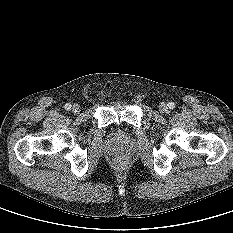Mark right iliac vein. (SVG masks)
Listing matches in <instances>:
<instances>
[{"instance_id":"63e3f726","label":"right iliac vein","mask_w":233,"mask_h":233,"mask_svg":"<svg viewBox=\"0 0 233 233\" xmlns=\"http://www.w3.org/2000/svg\"><path fill=\"white\" fill-rule=\"evenodd\" d=\"M71 110H72V112L73 113H79L80 112V110H81V107H80V105H78V104H74L72 107H71Z\"/></svg>"}]
</instances>
